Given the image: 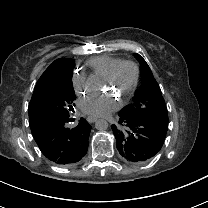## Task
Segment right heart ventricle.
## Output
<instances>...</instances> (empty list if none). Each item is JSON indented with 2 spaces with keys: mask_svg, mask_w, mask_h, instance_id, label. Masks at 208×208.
<instances>
[{
  "mask_svg": "<svg viewBox=\"0 0 208 208\" xmlns=\"http://www.w3.org/2000/svg\"><path fill=\"white\" fill-rule=\"evenodd\" d=\"M120 61L119 58L103 55L90 59L87 65L92 69L94 75L104 78Z\"/></svg>",
  "mask_w": 208,
  "mask_h": 208,
  "instance_id": "right-heart-ventricle-1",
  "label": "right heart ventricle"
}]
</instances>
